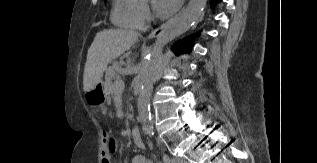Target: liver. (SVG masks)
I'll return each instance as SVG.
<instances>
[{
    "instance_id": "liver-1",
    "label": "liver",
    "mask_w": 317,
    "mask_h": 163,
    "mask_svg": "<svg viewBox=\"0 0 317 163\" xmlns=\"http://www.w3.org/2000/svg\"><path fill=\"white\" fill-rule=\"evenodd\" d=\"M139 33L122 29H104L98 32L88 49L83 74V90L88 92L102 81L107 65L129 50Z\"/></svg>"
}]
</instances>
